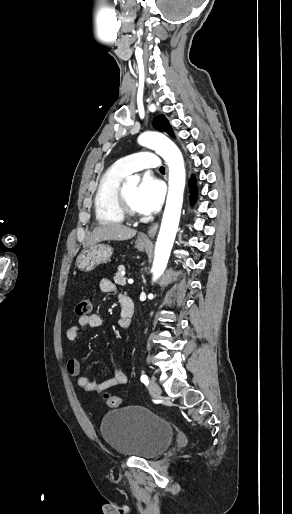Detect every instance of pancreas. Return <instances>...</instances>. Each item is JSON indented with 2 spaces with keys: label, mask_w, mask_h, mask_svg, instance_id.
Returning a JSON list of instances; mask_svg holds the SVG:
<instances>
[{
  "label": "pancreas",
  "mask_w": 292,
  "mask_h": 514,
  "mask_svg": "<svg viewBox=\"0 0 292 514\" xmlns=\"http://www.w3.org/2000/svg\"><path fill=\"white\" fill-rule=\"evenodd\" d=\"M121 272H125L124 266H119V268L114 276V282H115V284H118V286H126L127 278H124V276H122Z\"/></svg>",
  "instance_id": "obj_1"
}]
</instances>
